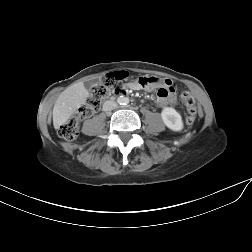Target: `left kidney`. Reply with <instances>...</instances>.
<instances>
[{
  "mask_svg": "<svg viewBox=\"0 0 252 252\" xmlns=\"http://www.w3.org/2000/svg\"><path fill=\"white\" fill-rule=\"evenodd\" d=\"M161 117L164 124L173 131L183 129V121L181 115L171 107H165L161 112Z\"/></svg>",
  "mask_w": 252,
  "mask_h": 252,
  "instance_id": "5707ae66",
  "label": "left kidney"
}]
</instances>
